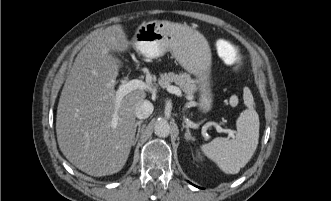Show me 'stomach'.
I'll use <instances>...</instances> for the list:
<instances>
[{
    "mask_svg": "<svg viewBox=\"0 0 331 201\" xmlns=\"http://www.w3.org/2000/svg\"><path fill=\"white\" fill-rule=\"evenodd\" d=\"M131 44L149 59L170 52L182 68L196 76L200 90L199 110L203 113L211 110V51L202 34L184 24L155 20L140 24Z\"/></svg>",
    "mask_w": 331,
    "mask_h": 201,
    "instance_id": "stomach-1",
    "label": "stomach"
}]
</instances>
